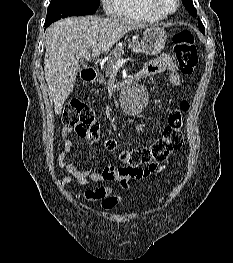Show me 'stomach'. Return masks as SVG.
Wrapping results in <instances>:
<instances>
[{"mask_svg": "<svg viewBox=\"0 0 233 263\" xmlns=\"http://www.w3.org/2000/svg\"><path fill=\"white\" fill-rule=\"evenodd\" d=\"M166 40L167 34L164 29L151 26L144 31L141 46L146 54L156 55L164 49Z\"/></svg>", "mask_w": 233, "mask_h": 263, "instance_id": "obj_1", "label": "stomach"}]
</instances>
